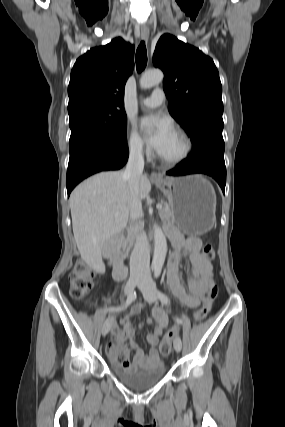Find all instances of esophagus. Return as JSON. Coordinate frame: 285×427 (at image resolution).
Returning <instances> with one entry per match:
<instances>
[{"instance_id":"1","label":"esophagus","mask_w":285,"mask_h":427,"mask_svg":"<svg viewBox=\"0 0 285 427\" xmlns=\"http://www.w3.org/2000/svg\"><path fill=\"white\" fill-rule=\"evenodd\" d=\"M141 38L144 41H148V38H149V29L148 28H141ZM151 179H153V180H160L161 177L156 172H152L151 173Z\"/></svg>"}]
</instances>
